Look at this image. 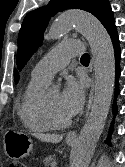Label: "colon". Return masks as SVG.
<instances>
[{"label":"colon","mask_w":125,"mask_h":167,"mask_svg":"<svg viewBox=\"0 0 125 167\" xmlns=\"http://www.w3.org/2000/svg\"><path fill=\"white\" fill-rule=\"evenodd\" d=\"M9 167H26V165L23 162L20 161H16V162H12Z\"/></svg>","instance_id":"5ec220e1"}]
</instances>
